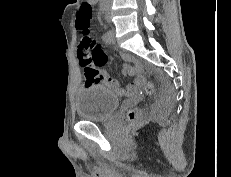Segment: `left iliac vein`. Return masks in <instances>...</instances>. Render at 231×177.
I'll list each match as a JSON object with an SVG mask.
<instances>
[{"label": "left iliac vein", "instance_id": "left-iliac-vein-1", "mask_svg": "<svg viewBox=\"0 0 231 177\" xmlns=\"http://www.w3.org/2000/svg\"><path fill=\"white\" fill-rule=\"evenodd\" d=\"M106 21H107L108 23L111 22V13H110V7H109V6H108L107 12H106Z\"/></svg>", "mask_w": 231, "mask_h": 177}]
</instances>
